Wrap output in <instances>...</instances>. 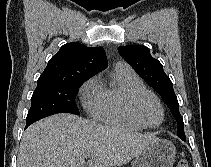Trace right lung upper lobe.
<instances>
[{
  "label": "right lung upper lobe",
  "instance_id": "right-lung-upper-lobe-1",
  "mask_svg": "<svg viewBox=\"0 0 211 167\" xmlns=\"http://www.w3.org/2000/svg\"><path fill=\"white\" fill-rule=\"evenodd\" d=\"M107 67L101 47H87L77 42L63 45L48 62L37 84H60L88 79Z\"/></svg>",
  "mask_w": 211,
  "mask_h": 167
}]
</instances>
